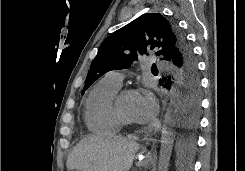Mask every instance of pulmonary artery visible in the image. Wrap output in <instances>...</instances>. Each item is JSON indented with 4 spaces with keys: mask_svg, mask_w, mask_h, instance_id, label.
I'll return each mask as SVG.
<instances>
[{
    "mask_svg": "<svg viewBox=\"0 0 245 171\" xmlns=\"http://www.w3.org/2000/svg\"><path fill=\"white\" fill-rule=\"evenodd\" d=\"M158 67H166L167 68V63L166 61H159L157 63ZM105 79L115 85L116 87L120 88L121 84H122V80H123V75L121 72L119 71H111L109 73H107V75L105 76Z\"/></svg>",
    "mask_w": 245,
    "mask_h": 171,
    "instance_id": "pulmonary-artery-1",
    "label": "pulmonary artery"
}]
</instances>
